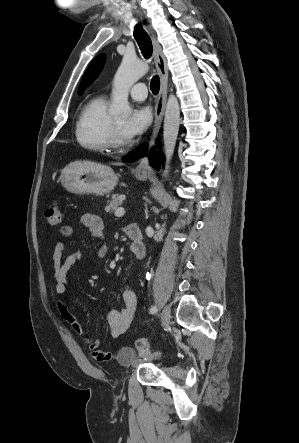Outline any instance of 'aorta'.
<instances>
[{
	"mask_svg": "<svg viewBox=\"0 0 299 443\" xmlns=\"http://www.w3.org/2000/svg\"><path fill=\"white\" fill-rule=\"evenodd\" d=\"M148 72V65L137 59L125 55L113 81L112 105L110 114L118 119H125L131 114L128 102L130 88ZM180 124V107L175 95L170 94L164 115L163 140L166 166L164 176L167 175L169 163L173 156Z\"/></svg>",
	"mask_w": 299,
	"mask_h": 443,
	"instance_id": "aorta-1",
	"label": "aorta"
}]
</instances>
